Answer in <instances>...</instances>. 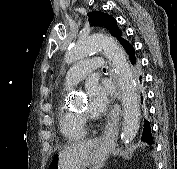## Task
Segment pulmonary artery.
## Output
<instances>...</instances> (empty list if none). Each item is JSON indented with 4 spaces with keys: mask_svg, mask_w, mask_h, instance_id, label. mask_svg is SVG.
Returning a JSON list of instances; mask_svg holds the SVG:
<instances>
[{
    "mask_svg": "<svg viewBox=\"0 0 177 169\" xmlns=\"http://www.w3.org/2000/svg\"><path fill=\"white\" fill-rule=\"evenodd\" d=\"M104 67V60L101 57H86L70 68L65 76L67 87L75 86L92 71H101Z\"/></svg>",
    "mask_w": 177,
    "mask_h": 169,
    "instance_id": "obj_1",
    "label": "pulmonary artery"
}]
</instances>
